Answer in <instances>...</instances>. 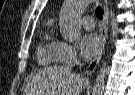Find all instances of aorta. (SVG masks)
<instances>
[{"instance_id": "obj_1", "label": "aorta", "mask_w": 135, "mask_h": 95, "mask_svg": "<svg viewBox=\"0 0 135 95\" xmlns=\"http://www.w3.org/2000/svg\"><path fill=\"white\" fill-rule=\"evenodd\" d=\"M89 1L91 0H65L59 17L60 32L62 33V36L65 40L74 42L79 39L81 27L78 22V18L85 7L88 5ZM111 30L112 37H116L118 33V23L114 18V15H112L111 20ZM106 74L107 63L104 62L96 76L92 95H103Z\"/></svg>"}]
</instances>
